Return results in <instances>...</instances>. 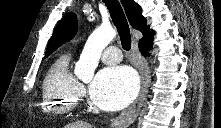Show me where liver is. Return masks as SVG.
Returning a JSON list of instances; mask_svg holds the SVG:
<instances>
[{
  "label": "liver",
  "instance_id": "6515ba94",
  "mask_svg": "<svg viewBox=\"0 0 221 128\" xmlns=\"http://www.w3.org/2000/svg\"><path fill=\"white\" fill-rule=\"evenodd\" d=\"M65 128H92V126L89 123L77 121L66 125Z\"/></svg>",
  "mask_w": 221,
  "mask_h": 128
}]
</instances>
